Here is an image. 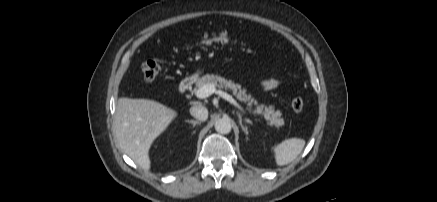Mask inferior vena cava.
Listing matches in <instances>:
<instances>
[{"instance_id":"obj_1","label":"inferior vena cava","mask_w":437,"mask_h":202,"mask_svg":"<svg viewBox=\"0 0 437 202\" xmlns=\"http://www.w3.org/2000/svg\"><path fill=\"white\" fill-rule=\"evenodd\" d=\"M190 114L194 118H196V119H198L200 121H205L208 118V110H207V108L202 106V105H200V104L192 106L190 108Z\"/></svg>"}]
</instances>
